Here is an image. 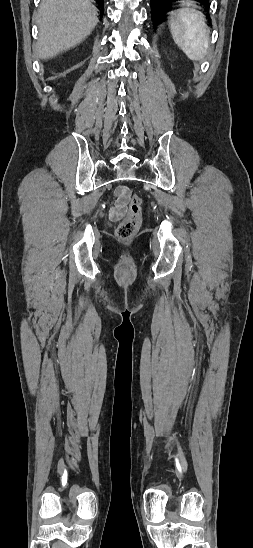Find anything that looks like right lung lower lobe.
<instances>
[{
	"mask_svg": "<svg viewBox=\"0 0 253 548\" xmlns=\"http://www.w3.org/2000/svg\"><path fill=\"white\" fill-rule=\"evenodd\" d=\"M96 2L100 5V8L103 9L104 0H96Z\"/></svg>",
	"mask_w": 253,
	"mask_h": 548,
	"instance_id": "98d812e1",
	"label": "right lung lower lobe"
}]
</instances>
